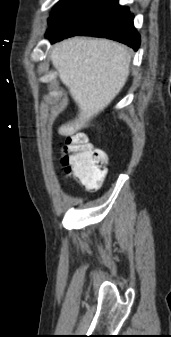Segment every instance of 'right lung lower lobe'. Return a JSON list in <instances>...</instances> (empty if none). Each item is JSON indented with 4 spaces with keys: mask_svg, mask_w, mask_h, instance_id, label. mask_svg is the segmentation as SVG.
Here are the masks:
<instances>
[{
    "mask_svg": "<svg viewBox=\"0 0 171 337\" xmlns=\"http://www.w3.org/2000/svg\"><path fill=\"white\" fill-rule=\"evenodd\" d=\"M133 18L118 0H75L50 24L47 38L55 43L75 35L105 37L137 50L140 35L134 28Z\"/></svg>",
    "mask_w": 171,
    "mask_h": 337,
    "instance_id": "98d812e1",
    "label": "right lung lower lobe"
}]
</instances>
